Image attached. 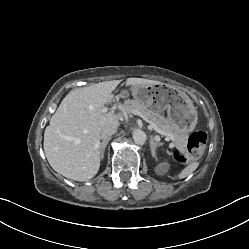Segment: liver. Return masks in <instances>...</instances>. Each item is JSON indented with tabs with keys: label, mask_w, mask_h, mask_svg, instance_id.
I'll return each instance as SVG.
<instances>
[{
	"label": "liver",
	"mask_w": 249,
	"mask_h": 249,
	"mask_svg": "<svg viewBox=\"0 0 249 249\" xmlns=\"http://www.w3.org/2000/svg\"><path fill=\"white\" fill-rule=\"evenodd\" d=\"M121 80L105 81L78 88L65 96L44 132V152L50 166L64 177L76 181L93 178L100 167V130L119 126L105 104ZM126 87L162 84L143 78H128Z\"/></svg>",
	"instance_id": "liver-1"
}]
</instances>
